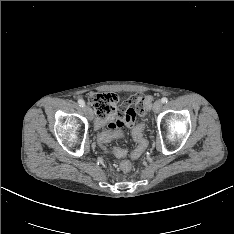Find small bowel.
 Here are the masks:
<instances>
[{
  "label": "small bowel",
  "instance_id": "obj_1",
  "mask_svg": "<svg viewBox=\"0 0 234 234\" xmlns=\"http://www.w3.org/2000/svg\"><path fill=\"white\" fill-rule=\"evenodd\" d=\"M143 97H144L143 95H137L133 99V101H128L121 107V110L127 114V121L125 122L124 125L132 129V132L134 128L138 127V125L135 126L136 117L139 118V121H142V118L140 117H142L143 115L142 112V106L144 102Z\"/></svg>",
  "mask_w": 234,
  "mask_h": 234
}]
</instances>
